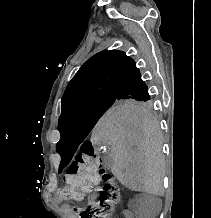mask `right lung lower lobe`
Masks as SVG:
<instances>
[{"instance_id": "98d812e1", "label": "right lung lower lobe", "mask_w": 211, "mask_h": 218, "mask_svg": "<svg viewBox=\"0 0 211 218\" xmlns=\"http://www.w3.org/2000/svg\"><path fill=\"white\" fill-rule=\"evenodd\" d=\"M121 97L132 98H150L148 87L141 79V74L138 72L123 88L120 93Z\"/></svg>"}]
</instances>
